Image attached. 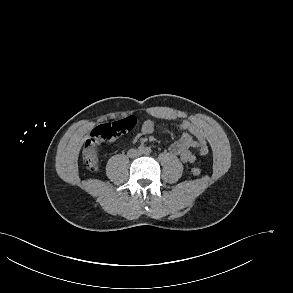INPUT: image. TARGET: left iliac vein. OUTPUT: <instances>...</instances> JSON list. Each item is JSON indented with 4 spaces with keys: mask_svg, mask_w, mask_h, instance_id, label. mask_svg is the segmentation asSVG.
<instances>
[{
    "mask_svg": "<svg viewBox=\"0 0 293 293\" xmlns=\"http://www.w3.org/2000/svg\"><path fill=\"white\" fill-rule=\"evenodd\" d=\"M143 153L142 152H139V155H142Z\"/></svg>",
    "mask_w": 293,
    "mask_h": 293,
    "instance_id": "left-iliac-vein-1",
    "label": "left iliac vein"
}]
</instances>
